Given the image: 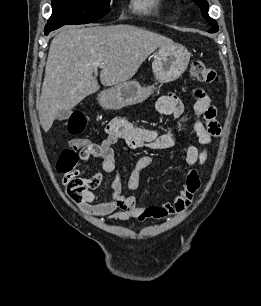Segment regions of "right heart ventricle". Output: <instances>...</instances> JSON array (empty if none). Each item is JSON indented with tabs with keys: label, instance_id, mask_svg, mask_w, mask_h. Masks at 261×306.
Listing matches in <instances>:
<instances>
[{
	"label": "right heart ventricle",
	"instance_id": "obj_1",
	"mask_svg": "<svg viewBox=\"0 0 261 306\" xmlns=\"http://www.w3.org/2000/svg\"><path fill=\"white\" fill-rule=\"evenodd\" d=\"M132 9L138 13L150 14L161 5V0H131Z\"/></svg>",
	"mask_w": 261,
	"mask_h": 306
}]
</instances>
